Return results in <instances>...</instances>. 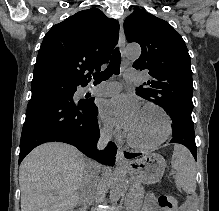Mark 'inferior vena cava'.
<instances>
[{
  "label": "inferior vena cava",
  "instance_id": "602c4592",
  "mask_svg": "<svg viewBox=\"0 0 219 211\" xmlns=\"http://www.w3.org/2000/svg\"><path fill=\"white\" fill-rule=\"evenodd\" d=\"M109 139H111V133H109V131H103L97 143L98 149H104ZM93 165L94 166L91 167L89 174H86L84 183L80 184L81 188L77 189V192L80 195V199L82 203H86L85 205L87 207L91 205L89 202L93 201V198L95 196L94 193H96V188H99L100 186L99 175L104 174V171L102 170V167H101L104 165L103 161H93Z\"/></svg>",
  "mask_w": 219,
  "mask_h": 211
}]
</instances>
